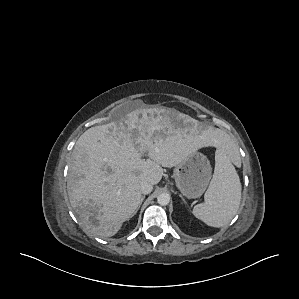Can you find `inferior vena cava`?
Listing matches in <instances>:
<instances>
[{
  "instance_id": "obj_1",
  "label": "inferior vena cava",
  "mask_w": 299,
  "mask_h": 299,
  "mask_svg": "<svg viewBox=\"0 0 299 299\" xmlns=\"http://www.w3.org/2000/svg\"><path fill=\"white\" fill-rule=\"evenodd\" d=\"M152 190H153V186L149 182L142 181L140 183V191H141L142 194H144V195L149 194V193L152 192Z\"/></svg>"
}]
</instances>
